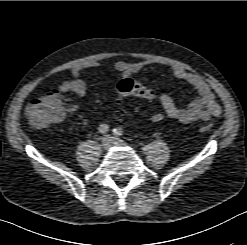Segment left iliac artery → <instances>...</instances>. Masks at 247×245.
<instances>
[{"label": "left iliac artery", "mask_w": 247, "mask_h": 245, "mask_svg": "<svg viewBox=\"0 0 247 245\" xmlns=\"http://www.w3.org/2000/svg\"><path fill=\"white\" fill-rule=\"evenodd\" d=\"M113 134L115 136H121L123 134V131L121 128L118 127V128L113 129Z\"/></svg>", "instance_id": "left-iliac-artery-1"}]
</instances>
